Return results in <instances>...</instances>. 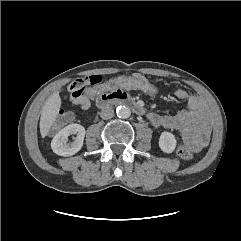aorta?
<instances>
[{
  "mask_svg": "<svg viewBox=\"0 0 241 241\" xmlns=\"http://www.w3.org/2000/svg\"><path fill=\"white\" fill-rule=\"evenodd\" d=\"M117 116L123 119H127L131 115V110L126 106H119L116 109Z\"/></svg>",
  "mask_w": 241,
  "mask_h": 241,
  "instance_id": "762f6f07",
  "label": "aorta"
}]
</instances>
